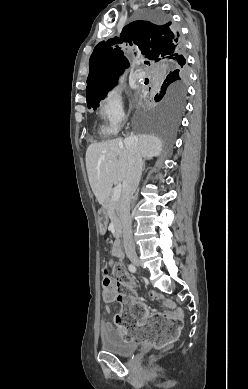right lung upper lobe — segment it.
Instances as JSON below:
<instances>
[{
	"mask_svg": "<svg viewBox=\"0 0 248 389\" xmlns=\"http://www.w3.org/2000/svg\"><path fill=\"white\" fill-rule=\"evenodd\" d=\"M118 44L134 46L149 61L146 64L163 68L173 62L186 63L184 47L177 50L178 41L171 22L154 23L138 20L126 25L120 37L100 42L89 60L86 98L91 94L110 87L123 70L129 67L128 59Z\"/></svg>",
	"mask_w": 248,
	"mask_h": 389,
	"instance_id": "right-lung-upper-lobe-1",
	"label": "right lung upper lobe"
}]
</instances>
